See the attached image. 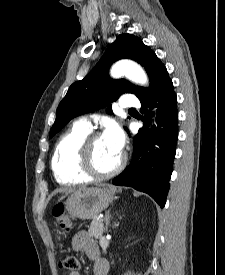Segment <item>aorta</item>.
Listing matches in <instances>:
<instances>
[{
  "mask_svg": "<svg viewBox=\"0 0 225 275\" xmlns=\"http://www.w3.org/2000/svg\"><path fill=\"white\" fill-rule=\"evenodd\" d=\"M113 78L125 76L130 81L146 86L148 85V77L145 71L136 63L131 61H120L116 63L110 70Z\"/></svg>",
  "mask_w": 225,
  "mask_h": 275,
  "instance_id": "762f6f07",
  "label": "aorta"
}]
</instances>
